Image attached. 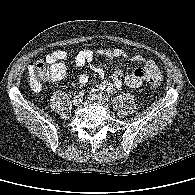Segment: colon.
Instances as JSON below:
<instances>
[{
    "mask_svg": "<svg viewBox=\"0 0 195 195\" xmlns=\"http://www.w3.org/2000/svg\"><path fill=\"white\" fill-rule=\"evenodd\" d=\"M30 84L34 89H39L45 82L59 80L65 74V67L58 61L45 58L32 61L28 67ZM161 84V79H154L150 82L152 88H157Z\"/></svg>",
    "mask_w": 195,
    "mask_h": 195,
    "instance_id": "5ec220e1",
    "label": "colon"
}]
</instances>
